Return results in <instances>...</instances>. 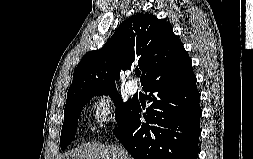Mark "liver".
<instances>
[{
    "mask_svg": "<svg viewBox=\"0 0 253 159\" xmlns=\"http://www.w3.org/2000/svg\"><path fill=\"white\" fill-rule=\"evenodd\" d=\"M67 159H133L119 146L83 144L74 149Z\"/></svg>",
    "mask_w": 253,
    "mask_h": 159,
    "instance_id": "6515ba94",
    "label": "liver"
}]
</instances>
